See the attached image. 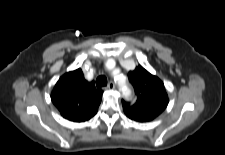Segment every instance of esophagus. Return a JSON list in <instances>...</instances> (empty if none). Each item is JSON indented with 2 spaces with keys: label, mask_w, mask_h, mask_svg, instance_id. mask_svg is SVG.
Here are the masks:
<instances>
[{
  "label": "esophagus",
  "mask_w": 225,
  "mask_h": 155,
  "mask_svg": "<svg viewBox=\"0 0 225 155\" xmlns=\"http://www.w3.org/2000/svg\"><path fill=\"white\" fill-rule=\"evenodd\" d=\"M115 88V83L114 82H109V84L107 85L106 89L108 90H113Z\"/></svg>",
  "instance_id": "34e87169"
}]
</instances>
